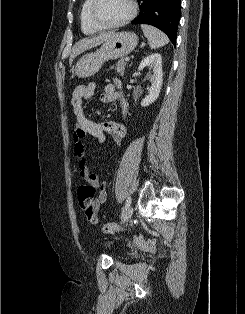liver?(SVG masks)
Listing matches in <instances>:
<instances>
[{"instance_id": "1", "label": "liver", "mask_w": 245, "mask_h": 314, "mask_svg": "<svg viewBox=\"0 0 245 314\" xmlns=\"http://www.w3.org/2000/svg\"><path fill=\"white\" fill-rule=\"evenodd\" d=\"M112 34H113V32L101 33L100 35H98L96 37L85 38V39L77 42L72 49V53H71L70 58H69V64L72 65V62H73L75 57H77L78 55H80L84 51L89 50V49L96 47L99 44L103 43Z\"/></svg>"}]
</instances>
